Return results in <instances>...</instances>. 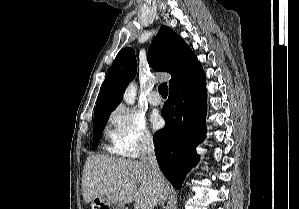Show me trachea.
I'll list each match as a JSON object with an SVG mask.
<instances>
[{"instance_id": "1", "label": "trachea", "mask_w": 299, "mask_h": 209, "mask_svg": "<svg viewBox=\"0 0 299 209\" xmlns=\"http://www.w3.org/2000/svg\"><path fill=\"white\" fill-rule=\"evenodd\" d=\"M158 91L161 94V96H167L168 95V86L167 83H161L158 87Z\"/></svg>"}]
</instances>
